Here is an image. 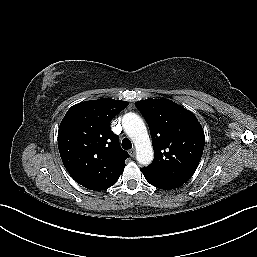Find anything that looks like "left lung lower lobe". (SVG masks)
Masks as SVG:
<instances>
[{
    "label": "left lung lower lobe",
    "instance_id": "1",
    "mask_svg": "<svg viewBox=\"0 0 257 257\" xmlns=\"http://www.w3.org/2000/svg\"><path fill=\"white\" fill-rule=\"evenodd\" d=\"M146 180L159 189H174L182 186L189 179L177 175H173L167 171H161L154 174L148 173L145 169H141Z\"/></svg>",
    "mask_w": 257,
    "mask_h": 257
}]
</instances>
